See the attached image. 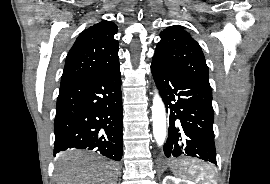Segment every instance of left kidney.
<instances>
[{
	"label": "left kidney",
	"instance_id": "left-kidney-1",
	"mask_svg": "<svg viewBox=\"0 0 270 184\" xmlns=\"http://www.w3.org/2000/svg\"><path fill=\"white\" fill-rule=\"evenodd\" d=\"M162 184H195V183L184 179H178L168 175L163 179Z\"/></svg>",
	"mask_w": 270,
	"mask_h": 184
}]
</instances>
